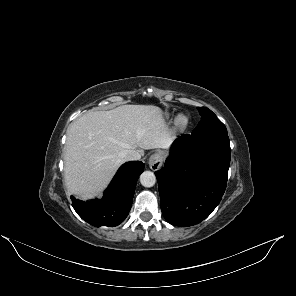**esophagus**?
Instances as JSON below:
<instances>
[{"instance_id": "obj_1", "label": "esophagus", "mask_w": 296, "mask_h": 296, "mask_svg": "<svg viewBox=\"0 0 296 296\" xmlns=\"http://www.w3.org/2000/svg\"><path fill=\"white\" fill-rule=\"evenodd\" d=\"M163 163V156L160 152L153 154L149 159V167L151 170H158Z\"/></svg>"}]
</instances>
